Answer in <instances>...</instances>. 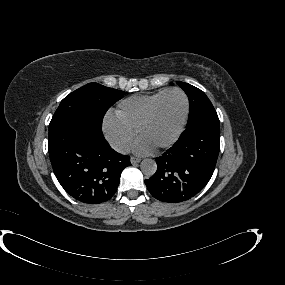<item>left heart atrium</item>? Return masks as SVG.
<instances>
[{"label": "left heart atrium", "mask_w": 285, "mask_h": 285, "mask_svg": "<svg viewBox=\"0 0 285 285\" xmlns=\"http://www.w3.org/2000/svg\"><path fill=\"white\" fill-rule=\"evenodd\" d=\"M153 147L146 139L139 137L133 145V151L137 154L147 155L154 151Z\"/></svg>", "instance_id": "left-heart-atrium-1"}]
</instances>
